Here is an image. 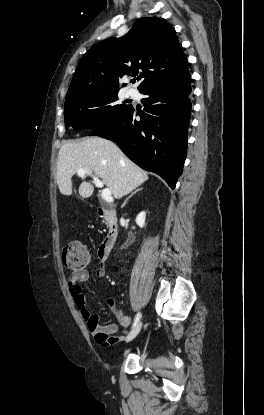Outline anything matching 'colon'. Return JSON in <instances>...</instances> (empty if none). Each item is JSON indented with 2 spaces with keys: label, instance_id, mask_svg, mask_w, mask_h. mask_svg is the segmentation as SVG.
Here are the masks:
<instances>
[{
  "label": "colon",
  "instance_id": "colon-1",
  "mask_svg": "<svg viewBox=\"0 0 264 415\" xmlns=\"http://www.w3.org/2000/svg\"><path fill=\"white\" fill-rule=\"evenodd\" d=\"M90 253L79 242L68 243L62 252V264L67 270H76L91 264Z\"/></svg>",
  "mask_w": 264,
  "mask_h": 415
}]
</instances>
